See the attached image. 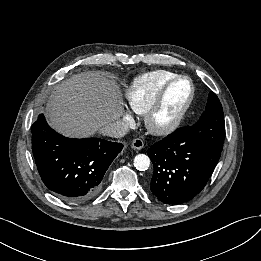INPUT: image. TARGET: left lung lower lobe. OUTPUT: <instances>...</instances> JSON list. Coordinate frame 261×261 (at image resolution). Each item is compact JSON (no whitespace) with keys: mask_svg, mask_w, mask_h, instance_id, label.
Listing matches in <instances>:
<instances>
[{"mask_svg":"<svg viewBox=\"0 0 261 261\" xmlns=\"http://www.w3.org/2000/svg\"><path fill=\"white\" fill-rule=\"evenodd\" d=\"M154 172L153 195L164 204H182L193 199L207 184L221 152L199 145L193 126L177 129L148 151Z\"/></svg>","mask_w":261,"mask_h":261,"instance_id":"left-lung-lower-lobe-1","label":"left lung lower lobe"}]
</instances>
